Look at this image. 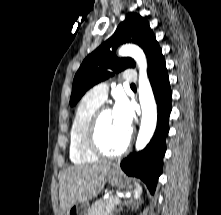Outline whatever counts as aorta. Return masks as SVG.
Segmentation results:
<instances>
[{
    "mask_svg": "<svg viewBox=\"0 0 221 215\" xmlns=\"http://www.w3.org/2000/svg\"><path fill=\"white\" fill-rule=\"evenodd\" d=\"M120 56L132 57L139 68V101L142 119L136 140V150H142L151 140L157 124V106L150 82L147 77V60L143 50L133 44L123 45L119 49Z\"/></svg>",
    "mask_w": 221,
    "mask_h": 215,
    "instance_id": "1",
    "label": "aorta"
}]
</instances>
